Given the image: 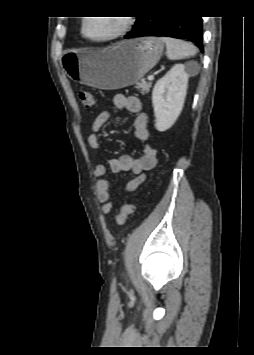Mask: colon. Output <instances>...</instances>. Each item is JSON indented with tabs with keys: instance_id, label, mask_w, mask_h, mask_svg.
<instances>
[{
	"instance_id": "colon-1",
	"label": "colon",
	"mask_w": 254,
	"mask_h": 355,
	"mask_svg": "<svg viewBox=\"0 0 254 355\" xmlns=\"http://www.w3.org/2000/svg\"><path fill=\"white\" fill-rule=\"evenodd\" d=\"M79 99L82 106L88 110L93 111L95 107V99L92 93L82 91L79 93ZM135 208L132 204H124L115 215V220L118 225H124Z\"/></svg>"
}]
</instances>
